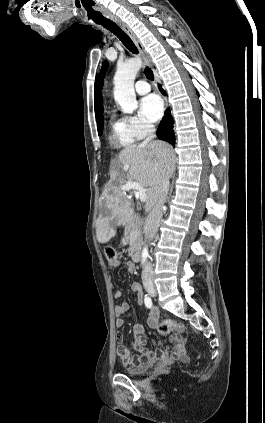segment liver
Instances as JSON below:
<instances>
[{
    "mask_svg": "<svg viewBox=\"0 0 265 423\" xmlns=\"http://www.w3.org/2000/svg\"><path fill=\"white\" fill-rule=\"evenodd\" d=\"M174 169V151L162 141L147 145H131L124 148L110 171V181L101 196L105 213L96 221V238L107 243L116 234V226L124 224L131 212L130 200L122 189L125 182H137L145 190V212H150L158 199L162 181L170 177Z\"/></svg>",
    "mask_w": 265,
    "mask_h": 423,
    "instance_id": "6515ba94",
    "label": "liver"
}]
</instances>
